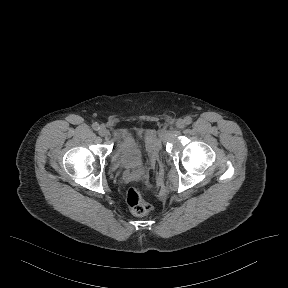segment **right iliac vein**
Here are the masks:
<instances>
[{
  "instance_id": "obj_1",
  "label": "right iliac vein",
  "mask_w": 288,
  "mask_h": 288,
  "mask_svg": "<svg viewBox=\"0 0 288 288\" xmlns=\"http://www.w3.org/2000/svg\"><path fill=\"white\" fill-rule=\"evenodd\" d=\"M98 133L100 136L103 137V136H106L108 132H107L106 127L104 125H101L99 130H98Z\"/></svg>"
}]
</instances>
